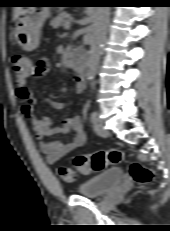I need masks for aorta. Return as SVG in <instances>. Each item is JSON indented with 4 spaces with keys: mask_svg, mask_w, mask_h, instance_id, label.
Segmentation results:
<instances>
[{
    "mask_svg": "<svg viewBox=\"0 0 170 231\" xmlns=\"http://www.w3.org/2000/svg\"><path fill=\"white\" fill-rule=\"evenodd\" d=\"M110 12V7H95L92 40L87 59L86 76L93 79L102 52V43L105 34V25Z\"/></svg>",
    "mask_w": 170,
    "mask_h": 231,
    "instance_id": "1",
    "label": "aorta"
}]
</instances>
